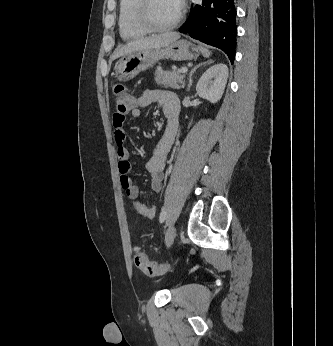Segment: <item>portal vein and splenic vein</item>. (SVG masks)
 <instances>
[{
    "mask_svg": "<svg viewBox=\"0 0 333 346\" xmlns=\"http://www.w3.org/2000/svg\"><path fill=\"white\" fill-rule=\"evenodd\" d=\"M188 71V68L187 67H182L180 69V73H186Z\"/></svg>",
    "mask_w": 333,
    "mask_h": 346,
    "instance_id": "18ae733b",
    "label": "portal vein and splenic vein"
}]
</instances>
